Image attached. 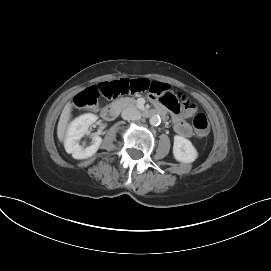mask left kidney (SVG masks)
Segmentation results:
<instances>
[{"label":"left kidney","instance_id":"left-kidney-1","mask_svg":"<svg viewBox=\"0 0 271 271\" xmlns=\"http://www.w3.org/2000/svg\"><path fill=\"white\" fill-rule=\"evenodd\" d=\"M174 158L182 163H191L196 160L198 153L190 140L182 136H174Z\"/></svg>","mask_w":271,"mask_h":271}]
</instances>
